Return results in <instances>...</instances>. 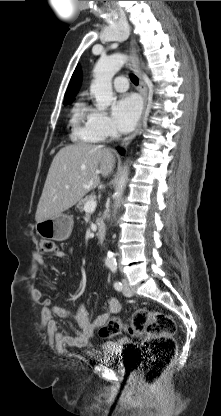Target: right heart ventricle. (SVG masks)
<instances>
[{
    "label": "right heart ventricle",
    "instance_id": "right-heart-ventricle-1",
    "mask_svg": "<svg viewBox=\"0 0 221 416\" xmlns=\"http://www.w3.org/2000/svg\"><path fill=\"white\" fill-rule=\"evenodd\" d=\"M87 111L88 107L82 102H78L74 105L72 110L74 136L77 140L81 142H94L96 140L89 135V133L85 129V126H82V122L86 117Z\"/></svg>",
    "mask_w": 221,
    "mask_h": 416
}]
</instances>
